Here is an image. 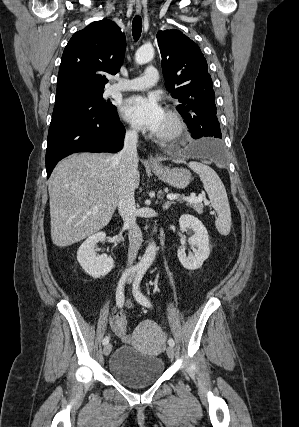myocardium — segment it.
<instances>
[{
  "label": "myocardium",
  "mask_w": 299,
  "mask_h": 427,
  "mask_svg": "<svg viewBox=\"0 0 299 427\" xmlns=\"http://www.w3.org/2000/svg\"><path fill=\"white\" fill-rule=\"evenodd\" d=\"M166 117L170 122V127L164 132L156 133L155 137L162 142H170L179 138L184 132V121L180 114L173 110L168 109L165 113Z\"/></svg>",
  "instance_id": "myocardium-1"
}]
</instances>
